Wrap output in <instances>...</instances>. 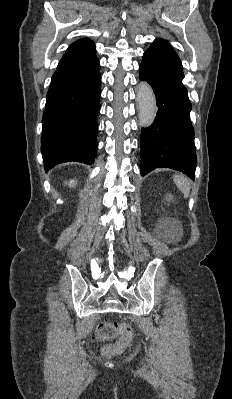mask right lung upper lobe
<instances>
[{"label": "right lung upper lobe", "mask_w": 232, "mask_h": 399, "mask_svg": "<svg viewBox=\"0 0 232 399\" xmlns=\"http://www.w3.org/2000/svg\"><path fill=\"white\" fill-rule=\"evenodd\" d=\"M91 52H95L94 42L88 38H83L71 44L65 54Z\"/></svg>", "instance_id": "obj_1"}]
</instances>
